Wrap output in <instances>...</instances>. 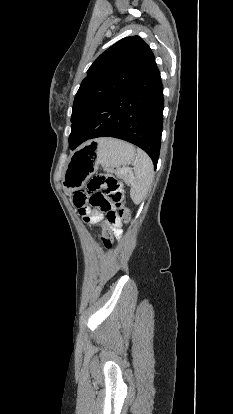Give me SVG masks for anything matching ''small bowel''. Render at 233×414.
<instances>
[{"mask_svg":"<svg viewBox=\"0 0 233 414\" xmlns=\"http://www.w3.org/2000/svg\"><path fill=\"white\" fill-rule=\"evenodd\" d=\"M79 213L81 216L84 217V219L90 223L98 224V223H104L103 221V214L102 212L95 207L91 206H85L84 209L79 208ZM111 229V231L117 235L120 236L122 232V221L118 218L114 219L111 222L106 223Z\"/></svg>","mask_w":233,"mask_h":414,"instance_id":"obj_1","label":"small bowel"}]
</instances>
